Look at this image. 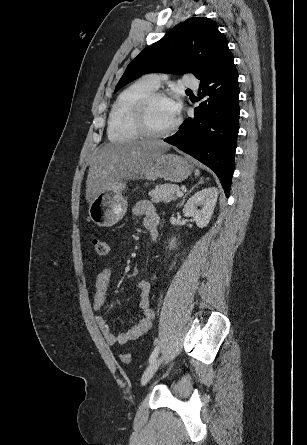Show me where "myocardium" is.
<instances>
[{"label": "myocardium", "mask_w": 307, "mask_h": 445, "mask_svg": "<svg viewBox=\"0 0 307 445\" xmlns=\"http://www.w3.org/2000/svg\"><path fill=\"white\" fill-rule=\"evenodd\" d=\"M158 99L168 100L166 94L158 90H154L150 94L145 96L137 105L136 115L138 123L141 128L142 134L147 136L144 137V139H158L159 137H168L172 135L179 127V118H176L173 124L164 131H155L151 128L148 120V111L151 104Z\"/></svg>", "instance_id": "1"}]
</instances>
